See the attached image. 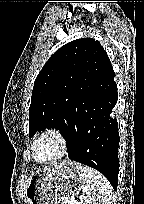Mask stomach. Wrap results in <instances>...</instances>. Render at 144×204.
I'll list each match as a JSON object with an SVG mask.
<instances>
[{
    "label": "stomach",
    "instance_id": "0dacf381",
    "mask_svg": "<svg viewBox=\"0 0 144 204\" xmlns=\"http://www.w3.org/2000/svg\"><path fill=\"white\" fill-rule=\"evenodd\" d=\"M84 167L74 162L56 163L28 180L27 204H64L82 189Z\"/></svg>",
    "mask_w": 144,
    "mask_h": 204
}]
</instances>
